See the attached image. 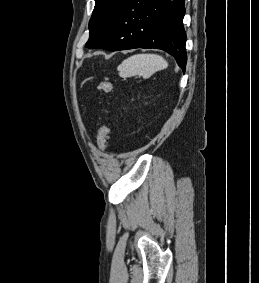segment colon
Wrapping results in <instances>:
<instances>
[{"label":"colon","mask_w":259,"mask_h":283,"mask_svg":"<svg viewBox=\"0 0 259 283\" xmlns=\"http://www.w3.org/2000/svg\"><path fill=\"white\" fill-rule=\"evenodd\" d=\"M98 87L101 91L107 94L113 91V84L108 80H101ZM110 134H111V126L110 124H105L100 130L97 139L98 146L101 149H106L108 147Z\"/></svg>","instance_id":"1"}]
</instances>
